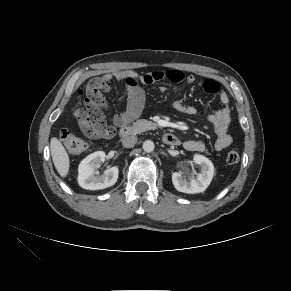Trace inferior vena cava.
I'll use <instances>...</instances> for the list:
<instances>
[{
    "instance_id": "inferior-vena-cava-1",
    "label": "inferior vena cava",
    "mask_w": 291,
    "mask_h": 291,
    "mask_svg": "<svg viewBox=\"0 0 291 291\" xmlns=\"http://www.w3.org/2000/svg\"><path fill=\"white\" fill-rule=\"evenodd\" d=\"M137 143L136 136H128L122 140L123 147L130 148L133 147Z\"/></svg>"
}]
</instances>
